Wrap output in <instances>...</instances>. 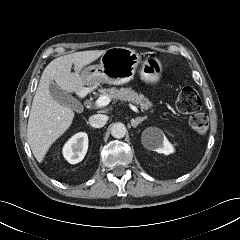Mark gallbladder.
<instances>
[{"mask_svg": "<svg viewBox=\"0 0 240 240\" xmlns=\"http://www.w3.org/2000/svg\"><path fill=\"white\" fill-rule=\"evenodd\" d=\"M49 92L53 99L56 100L58 103L67 106L73 110H79L81 108V103L76 98L61 89L53 81L49 85Z\"/></svg>", "mask_w": 240, "mask_h": 240, "instance_id": "1", "label": "gallbladder"}]
</instances>
